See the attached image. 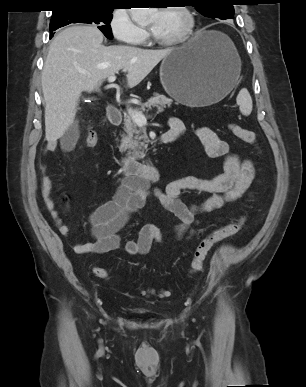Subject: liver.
Segmentation results:
<instances>
[{
  "instance_id": "6515ba94",
  "label": "liver",
  "mask_w": 306,
  "mask_h": 387,
  "mask_svg": "<svg viewBox=\"0 0 306 387\" xmlns=\"http://www.w3.org/2000/svg\"><path fill=\"white\" fill-rule=\"evenodd\" d=\"M102 42L103 34L87 25L68 27L52 40L41 78L49 143H56L73 123L83 91L98 90L121 69L127 71V85L133 88L174 50L104 46Z\"/></svg>"
}]
</instances>
